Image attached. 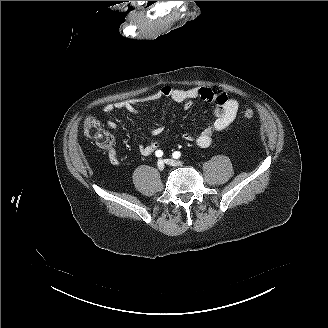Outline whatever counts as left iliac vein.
<instances>
[{"instance_id":"4c4485c4","label":"left iliac vein","mask_w":328,"mask_h":328,"mask_svg":"<svg viewBox=\"0 0 328 328\" xmlns=\"http://www.w3.org/2000/svg\"><path fill=\"white\" fill-rule=\"evenodd\" d=\"M164 162L170 166H181L183 165V162L180 160H174V159H165Z\"/></svg>"}]
</instances>
